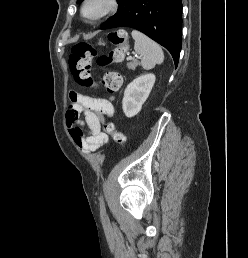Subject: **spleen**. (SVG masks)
<instances>
[{
	"label": "spleen",
	"instance_id": "spleen-1",
	"mask_svg": "<svg viewBox=\"0 0 248 258\" xmlns=\"http://www.w3.org/2000/svg\"><path fill=\"white\" fill-rule=\"evenodd\" d=\"M131 35L135 40L134 50L141 55V65L144 69H152L163 62L164 53L155 41L137 30H133Z\"/></svg>",
	"mask_w": 248,
	"mask_h": 258
}]
</instances>
